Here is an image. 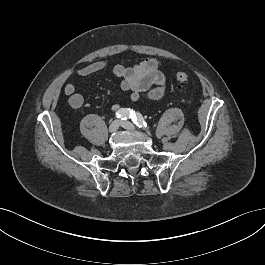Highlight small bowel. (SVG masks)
Returning <instances> with one entry per match:
<instances>
[{
  "label": "small bowel",
  "instance_id": "obj_1",
  "mask_svg": "<svg viewBox=\"0 0 265 265\" xmlns=\"http://www.w3.org/2000/svg\"><path fill=\"white\" fill-rule=\"evenodd\" d=\"M108 63L105 61H95L81 67L78 74L88 77L105 70ZM115 77L121 80V89L130 91V100L136 102L145 97L150 100H159L166 90V78L161 71V64L155 58H147L131 67L115 65L112 68ZM64 93L68 97L70 106L79 109L84 104L83 96L77 92L75 83L68 82L64 86ZM113 111H118L119 105H112Z\"/></svg>",
  "mask_w": 265,
  "mask_h": 265
}]
</instances>
